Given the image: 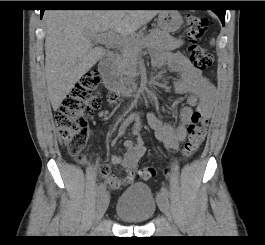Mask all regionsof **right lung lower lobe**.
Masks as SVG:
<instances>
[{
	"mask_svg": "<svg viewBox=\"0 0 265 245\" xmlns=\"http://www.w3.org/2000/svg\"><path fill=\"white\" fill-rule=\"evenodd\" d=\"M68 6H86V7H114L118 6L119 3L116 1H84V3L79 4H66ZM41 11V18L44 14V10Z\"/></svg>",
	"mask_w": 265,
	"mask_h": 245,
	"instance_id": "obj_1",
	"label": "right lung lower lobe"
}]
</instances>
